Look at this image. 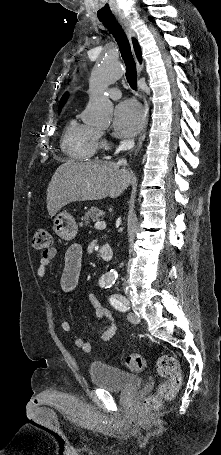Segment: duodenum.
<instances>
[{
	"mask_svg": "<svg viewBox=\"0 0 221 455\" xmlns=\"http://www.w3.org/2000/svg\"><path fill=\"white\" fill-rule=\"evenodd\" d=\"M99 254L104 260L108 261L113 256V249L110 245L104 244L99 248Z\"/></svg>",
	"mask_w": 221,
	"mask_h": 455,
	"instance_id": "410a0bca",
	"label": "duodenum"
}]
</instances>
